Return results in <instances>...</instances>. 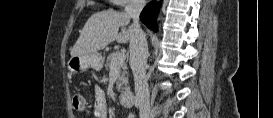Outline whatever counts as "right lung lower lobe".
I'll return each mask as SVG.
<instances>
[{
    "instance_id": "1",
    "label": "right lung lower lobe",
    "mask_w": 273,
    "mask_h": 118,
    "mask_svg": "<svg viewBox=\"0 0 273 118\" xmlns=\"http://www.w3.org/2000/svg\"><path fill=\"white\" fill-rule=\"evenodd\" d=\"M161 2H150L141 12L140 20L151 30L157 31L156 18L158 16L159 7Z\"/></svg>"
}]
</instances>
